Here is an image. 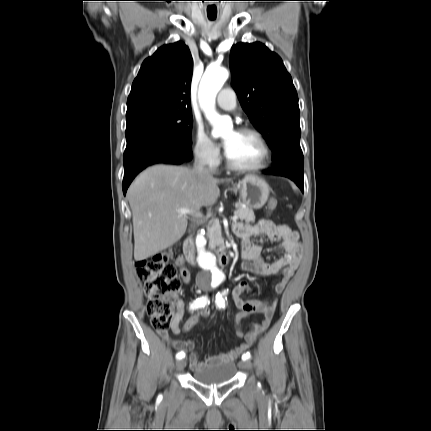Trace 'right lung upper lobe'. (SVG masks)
Masks as SVG:
<instances>
[{"instance_id":"1","label":"right lung upper lobe","mask_w":431,"mask_h":431,"mask_svg":"<svg viewBox=\"0 0 431 431\" xmlns=\"http://www.w3.org/2000/svg\"><path fill=\"white\" fill-rule=\"evenodd\" d=\"M193 59L181 41L163 45L142 63L127 100L126 118L151 112H191Z\"/></svg>"}]
</instances>
